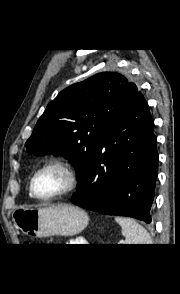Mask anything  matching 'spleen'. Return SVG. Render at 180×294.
Returning <instances> with one entry per match:
<instances>
[{
    "label": "spleen",
    "instance_id": "3e777b00",
    "mask_svg": "<svg viewBox=\"0 0 180 294\" xmlns=\"http://www.w3.org/2000/svg\"><path fill=\"white\" fill-rule=\"evenodd\" d=\"M115 221L121 226L124 244H151L149 233L135 220L117 216Z\"/></svg>",
    "mask_w": 180,
    "mask_h": 294
}]
</instances>
